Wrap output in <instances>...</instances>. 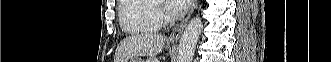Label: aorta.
Segmentation results:
<instances>
[{
  "mask_svg": "<svg viewBox=\"0 0 331 62\" xmlns=\"http://www.w3.org/2000/svg\"><path fill=\"white\" fill-rule=\"evenodd\" d=\"M201 29L200 17H195L189 22L179 42L177 62H192Z\"/></svg>",
  "mask_w": 331,
  "mask_h": 62,
  "instance_id": "obj_1",
  "label": "aorta"
}]
</instances>
